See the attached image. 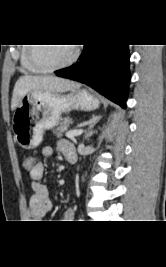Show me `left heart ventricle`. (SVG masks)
Listing matches in <instances>:
<instances>
[{
    "instance_id": "1",
    "label": "left heart ventricle",
    "mask_w": 166,
    "mask_h": 267,
    "mask_svg": "<svg viewBox=\"0 0 166 267\" xmlns=\"http://www.w3.org/2000/svg\"><path fill=\"white\" fill-rule=\"evenodd\" d=\"M73 52L70 46H39L36 54L40 61L47 65H58L66 62Z\"/></svg>"
}]
</instances>
